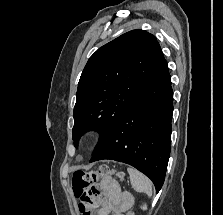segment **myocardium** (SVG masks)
<instances>
[{"instance_id": "1", "label": "myocardium", "mask_w": 223, "mask_h": 215, "mask_svg": "<svg viewBox=\"0 0 223 215\" xmlns=\"http://www.w3.org/2000/svg\"><path fill=\"white\" fill-rule=\"evenodd\" d=\"M86 139L90 140L91 139V135H87Z\"/></svg>"}]
</instances>
